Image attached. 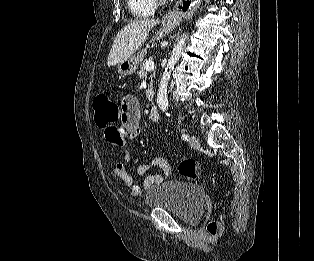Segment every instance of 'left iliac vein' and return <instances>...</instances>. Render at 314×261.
Here are the masks:
<instances>
[{
  "label": "left iliac vein",
  "mask_w": 314,
  "mask_h": 261,
  "mask_svg": "<svg viewBox=\"0 0 314 261\" xmlns=\"http://www.w3.org/2000/svg\"><path fill=\"white\" fill-rule=\"evenodd\" d=\"M189 144L192 147H199L200 146V141H199V139L196 136L192 135V136H190Z\"/></svg>",
  "instance_id": "4c4485c4"
}]
</instances>
